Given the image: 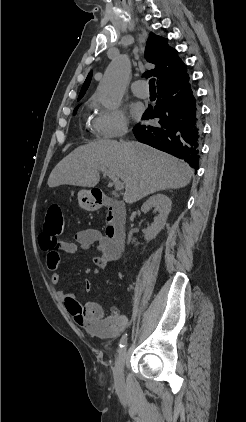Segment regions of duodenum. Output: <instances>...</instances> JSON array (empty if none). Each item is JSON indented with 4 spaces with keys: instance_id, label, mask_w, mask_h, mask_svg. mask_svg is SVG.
<instances>
[{
    "instance_id": "obj_1",
    "label": "duodenum",
    "mask_w": 246,
    "mask_h": 422,
    "mask_svg": "<svg viewBox=\"0 0 246 422\" xmlns=\"http://www.w3.org/2000/svg\"><path fill=\"white\" fill-rule=\"evenodd\" d=\"M95 203L98 207H106V235L119 248H123L126 240L125 217L126 209L122 202L109 196H95Z\"/></svg>"
}]
</instances>
